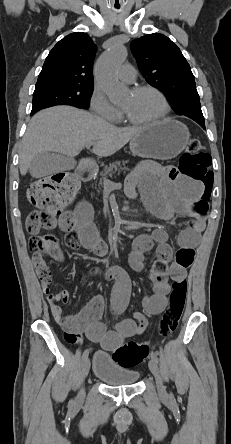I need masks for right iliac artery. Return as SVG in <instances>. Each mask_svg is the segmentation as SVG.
Instances as JSON below:
<instances>
[{
	"label": "right iliac artery",
	"mask_w": 231,
	"mask_h": 444,
	"mask_svg": "<svg viewBox=\"0 0 231 444\" xmlns=\"http://www.w3.org/2000/svg\"><path fill=\"white\" fill-rule=\"evenodd\" d=\"M88 354H89V350L86 349V350L83 352V355H82V360H83V361L88 357Z\"/></svg>",
	"instance_id": "82829eb1"
}]
</instances>
